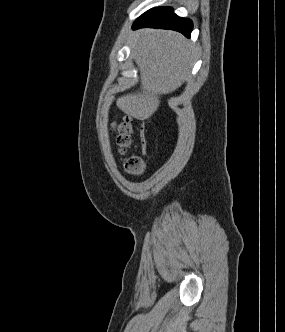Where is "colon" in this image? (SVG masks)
Segmentation results:
<instances>
[{
  "mask_svg": "<svg viewBox=\"0 0 285 332\" xmlns=\"http://www.w3.org/2000/svg\"><path fill=\"white\" fill-rule=\"evenodd\" d=\"M133 120L130 117H124L112 123L115 133V143L120 152H125L131 144ZM124 168L131 175H140L145 169L144 159L140 156H130L125 160Z\"/></svg>",
  "mask_w": 285,
  "mask_h": 332,
  "instance_id": "obj_1",
  "label": "colon"
}]
</instances>
